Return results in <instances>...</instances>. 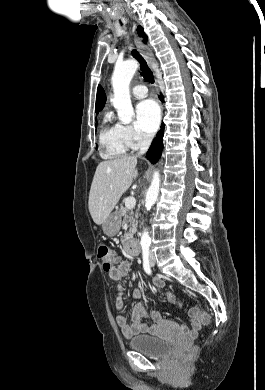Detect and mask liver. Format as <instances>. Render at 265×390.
Instances as JSON below:
<instances>
[{"label": "liver", "mask_w": 265, "mask_h": 390, "mask_svg": "<svg viewBox=\"0 0 265 390\" xmlns=\"http://www.w3.org/2000/svg\"><path fill=\"white\" fill-rule=\"evenodd\" d=\"M136 164V156H124L98 164L88 201L91 217L97 225H101L110 215L137 177Z\"/></svg>", "instance_id": "obj_1"}]
</instances>
